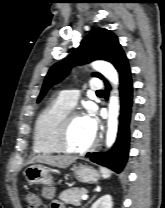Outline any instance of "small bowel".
I'll return each instance as SVG.
<instances>
[{"label":"small bowel","mask_w":165,"mask_h":208,"mask_svg":"<svg viewBox=\"0 0 165 208\" xmlns=\"http://www.w3.org/2000/svg\"><path fill=\"white\" fill-rule=\"evenodd\" d=\"M54 193H55V191L51 187H45L43 189V195L46 198L53 199ZM51 208H66V207L61 202H59L57 200H52Z\"/></svg>","instance_id":"small-bowel-1"}]
</instances>
